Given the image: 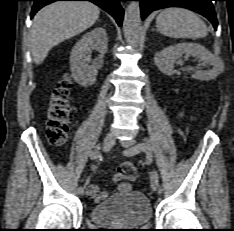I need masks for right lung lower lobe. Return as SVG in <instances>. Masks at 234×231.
<instances>
[{
    "label": "right lung lower lobe",
    "mask_w": 234,
    "mask_h": 231,
    "mask_svg": "<svg viewBox=\"0 0 234 231\" xmlns=\"http://www.w3.org/2000/svg\"><path fill=\"white\" fill-rule=\"evenodd\" d=\"M33 1L34 5L32 8L31 17H33L35 13L43 6L55 1H91L94 4L98 5L99 7H101L102 9H104L110 15H112L116 19L119 26L122 25L124 11L119 4V1L122 0H33Z\"/></svg>",
    "instance_id": "98d812e1"
}]
</instances>
